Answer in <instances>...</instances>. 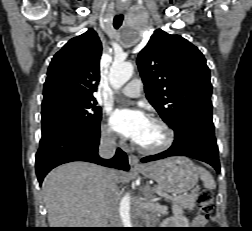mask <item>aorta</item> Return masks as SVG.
Masks as SVG:
<instances>
[{"label":"aorta","instance_id":"obj_1","mask_svg":"<svg viewBox=\"0 0 252 231\" xmlns=\"http://www.w3.org/2000/svg\"><path fill=\"white\" fill-rule=\"evenodd\" d=\"M134 66L130 62L114 61L109 72V82L114 89L121 88L133 75ZM121 221L125 228H132L130 216V195L126 194L120 201Z\"/></svg>","mask_w":252,"mask_h":231}]
</instances>
